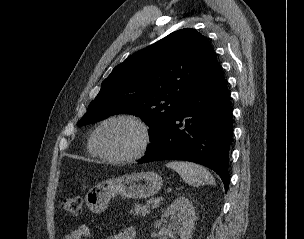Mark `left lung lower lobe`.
Masks as SVG:
<instances>
[{"label":"left lung lower lobe","instance_id":"0a47b994","mask_svg":"<svg viewBox=\"0 0 304 239\" xmlns=\"http://www.w3.org/2000/svg\"><path fill=\"white\" fill-rule=\"evenodd\" d=\"M232 132L230 96L216 61L181 104L167 130L138 162L174 159L205 165L221 177L227 192Z\"/></svg>","mask_w":304,"mask_h":239}]
</instances>
